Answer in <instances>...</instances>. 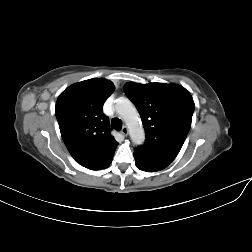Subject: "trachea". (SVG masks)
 Returning <instances> with one entry per match:
<instances>
[{"mask_svg":"<svg viewBox=\"0 0 252 252\" xmlns=\"http://www.w3.org/2000/svg\"><path fill=\"white\" fill-rule=\"evenodd\" d=\"M111 127L116 130H121L122 128V121L118 118H113L111 121Z\"/></svg>","mask_w":252,"mask_h":252,"instance_id":"trachea-1","label":"trachea"}]
</instances>
